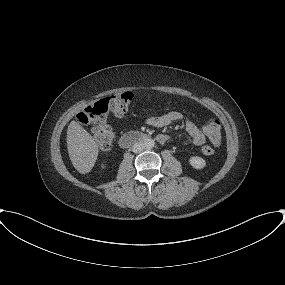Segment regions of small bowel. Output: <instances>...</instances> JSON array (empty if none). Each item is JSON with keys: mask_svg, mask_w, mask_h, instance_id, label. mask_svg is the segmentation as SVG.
I'll return each mask as SVG.
<instances>
[{"mask_svg": "<svg viewBox=\"0 0 285 285\" xmlns=\"http://www.w3.org/2000/svg\"><path fill=\"white\" fill-rule=\"evenodd\" d=\"M176 121H184L185 123V130L187 134L185 143L195 146H201L204 144L206 140V133L204 129L191 120L186 119L180 112L172 111L161 116L149 117L146 120L147 124L158 128L168 126ZM158 139L163 143L168 139V136L159 135Z\"/></svg>", "mask_w": 285, "mask_h": 285, "instance_id": "small-bowel-1", "label": "small bowel"}]
</instances>
